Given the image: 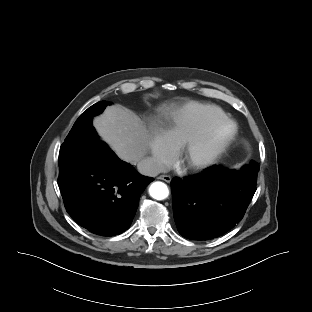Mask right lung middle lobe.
<instances>
[{
	"mask_svg": "<svg viewBox=\"0 0 312 312\" xmlns=\"http://www.w3.org/2000/svg\"><path fill=\"white\" fill-rule=\"evenodd\" d=\"M108 102H98L89 107L76 120L59 152V174L67 173L75 164L87 156L90 148L102 142L92 125V117L103 112Z\"/></svg>",
	"mask_w": 312,
	"mask_h": 312,
	"instance_id": "dd1d6c3e",
	"label": "right lung middle lobe"
}]
</instances>
